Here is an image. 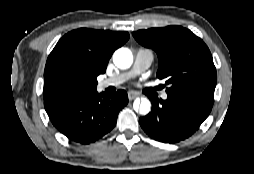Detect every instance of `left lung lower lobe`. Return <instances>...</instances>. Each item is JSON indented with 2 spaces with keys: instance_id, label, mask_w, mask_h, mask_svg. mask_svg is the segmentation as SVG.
<instances>
[{
  "instance_id": "obj_1",
  "label": "left lung lower lobe",
  "mask_w": 254,
  "mask_h": 174,
  "mask_svg": "<svg viewBox=\"0 0 254 174\" xmlns=\"http://www.w3.org/2000/svg\"><path fill=\"white\" fill-rule=\"evenodd\" d=\"M151 112L139 119L153 139L176 143L190 137L211 112L213 103L192 95L169 94L166 100H151Z\"/></svg>"
}]
</instances>
